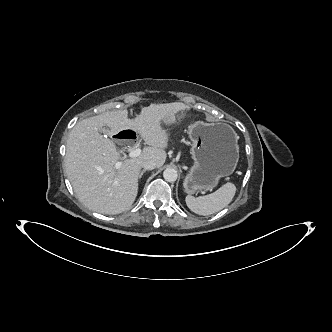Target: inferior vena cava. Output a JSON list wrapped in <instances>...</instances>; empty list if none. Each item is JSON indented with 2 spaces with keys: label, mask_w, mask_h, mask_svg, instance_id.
Listing matches in <instances>:
<instances>
[{
  "label": "inferior vena cava",
  "mask_w": 332,
  "mask_h": 332,
  "mask_svg": "<svg viewBox=\"0 0 332 332\" xmlns=\"http://www.w3.org/2000/svg\"><path fill=\"white\" fill-rule=\"evenodd\" d=\"M156 162L154 160H146L142 163V168L145 170H153L156 168Z\"/></svg>",
  "instance_id": "obj_1"
}]
</instances>
